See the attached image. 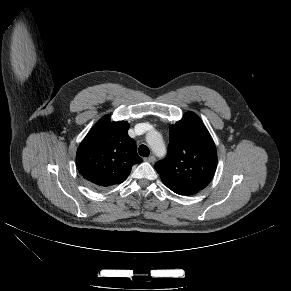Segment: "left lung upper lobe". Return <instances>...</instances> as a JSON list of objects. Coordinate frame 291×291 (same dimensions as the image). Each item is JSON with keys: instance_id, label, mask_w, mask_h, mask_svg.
Here are the masks:
<instances>
[{"instance_id": "5c2ea615", "label": "left lung upper lobe", "mask_w": 291, "mask_h": 291, "mask_svg": "<svg viewBox=\"0 0 291 291\" xmlns=\"http://www.w3.org/2000/svg\"><path fill=\"white\" fill-rule=\"evenodd\" d=\"M217 166L216 146L202 120L187 112L170 126V143L164 160L155 164L162 180L171 181L195 192L212 180Z\"/></svg>"}]
</instances>
